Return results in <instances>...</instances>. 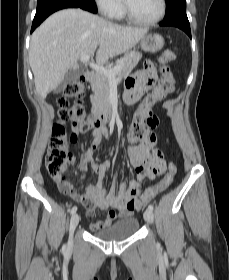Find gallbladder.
Segmentation results:
<instances>
[{
    "instance_id": "gallbladder-1",
    "label": "gallbladder",
    "mask_w": 229,
    "mask_h": 280,
    "mask_svg": "<svg viewBox=\"0 0 229 280\" xmlns=\"http://www.w3.org/2000/svg\"><path fill=\"white\" fill-rule=\"evenodd\" d=\"M82 75V70L80 69H68L66 72L63 81L61 84L57 87L55 92H60L63 90L69 83H72L75 81L79 76Z\"/></svg>"
}]
</instances>
